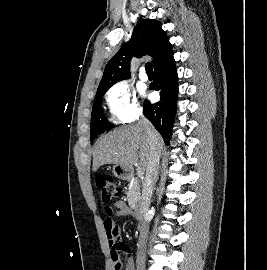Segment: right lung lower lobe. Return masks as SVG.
Instances as JSON below:
<instances>
[{"label": "right lung lower lobe", "mask_w": 267, "mask_h": 270, "mask_svg": "<svg viewBox=\"0 0 267 270\" xmlns=\"http://www.w3.org/2000/svg\"><path fill=\"white\" fill-rule=\"evenodd\" d=\"M154 81L150 88L160 92L161 100L155 104L144 103V115L160 132L166 144L172 132L177 103V71L170 47L154 66Z\"/></svg>", "instance_id": "right-lung-lower-lobe-1"}]
</instances>
